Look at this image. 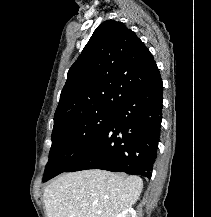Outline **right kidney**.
Masks as SVG:
<instances>
[{
    "label": "right kidney",
    "instance_id": "right-kidney-1",
    "mask_svg": "<svg viewBox=\"0 0 211 217\" xmlns=\"http://www.w3.org/2000/svg\"><path fill=\"white\" fill-rule=\"evenodd\" d=\"M116 217H137L136 211L133 208H128L121 213H119Z\"/></svg>",
    "mask_w": 211,
    "mask_h": 217
}]
</instances>
